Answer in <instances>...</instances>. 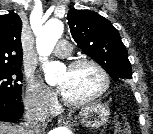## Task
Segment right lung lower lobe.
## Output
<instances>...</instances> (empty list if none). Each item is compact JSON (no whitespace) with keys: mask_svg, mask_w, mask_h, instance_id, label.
<instances>
[{"mask_svg":"<svg viewBox=\"0 0 153 134\" xmlns=\"http://www.w3.org/2000/svg\"><path fill=\"white\" fill-rule=\"evenodd\" d=\"M23 113L21 99L0 95V121L14 122Z\"/></svg>","mask_w":153,"mask_h":134,"instance_id":"right-lung-lower-lobe-1","label":"right lung lower lobe"}]
</instances>
